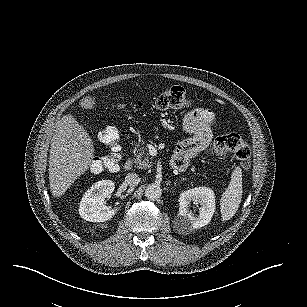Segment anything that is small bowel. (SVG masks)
<instances>
[{
	"label": "small bowel",
	"instance_id": "1",
	"mask_svg": "<svg viewBox=\"0 0 307 307\" xmlns=\"http://www.w3.org/2000/svg\"><path fill=\"white\" fill-rule=\"evenodd\" d=\"M214 124V113L206 108H196L185 115L183 126L190 136L181 141L174 152L172 165L176 169L186 168L191 158L209 146Z\"/></svg>",
	"mask_w": 307,
	"mask_h": 307
}]
</instances>
